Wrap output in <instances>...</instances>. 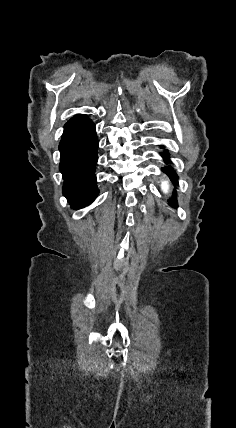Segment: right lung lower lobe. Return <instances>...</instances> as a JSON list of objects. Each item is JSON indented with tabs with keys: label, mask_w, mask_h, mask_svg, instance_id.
<instances>
[{
	"label": "right lung lower lobe",
	"mask_w": 236,
	"mask_h": 428,
	"mask_svg": "<svg viewBox=\"0 0 236 428\" xmlns=\"http://www.w3.org/2000/svg\"><path fill=\"white\" fill-rule=\"evenodd\" d=\"M98 140L94 123L85 115H76L64 127L59 145L63 194L73 209L92 203L99 191L96 185Z\"/></svg>",
	"instance_id": "1"
}]
</instances>
